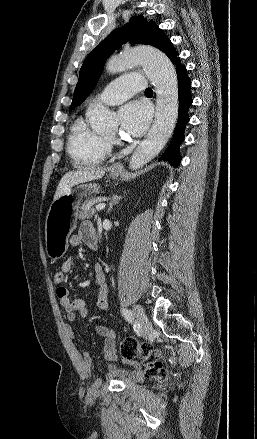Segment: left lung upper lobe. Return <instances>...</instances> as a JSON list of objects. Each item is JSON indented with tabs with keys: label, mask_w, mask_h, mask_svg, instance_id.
Returning a JSON list of instances; mask_svg holds the SVG:
<instances>
[{
	"label": "left lung upper lobe",
	"mask_w": 257,
	"mask_h": 439,
	"mask_svg": "<svg viewBox=\"0 0 257 439\" xmlns=\"http://www.w3.org/2000/svg\"><path fill=\"white\" fill-rule=\"evenodd\" d=\"M127 41L131 44H149L163 52L171 44V41L152 20L147 21L142 16L130 18L129 25L115 29L85 59L80 69L70 111L89 96L96 86L107 58Z\"/></svg>",
	"instance_id": "obj_1"
}]
</instances>
